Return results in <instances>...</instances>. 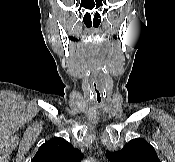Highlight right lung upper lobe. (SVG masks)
I'll list each match as a JSON object with an SVG mask.
<instances>
[{
    "label": "right lung upper lobe",
    "mask_w": 175,
    "mask_h": 162,
    "mask_svg": "<svg viewBox=\"0 0 175 162\" xmlns=\"http://www.w3.org/2000/svg\"><path fill=\"white\" fill-rule=\"evenodd\" d=\"M83 154L68 141L56 137L42 144L31 162H81Z\"/></svg>",
    "instance_id": "1"
}]
</instances>
